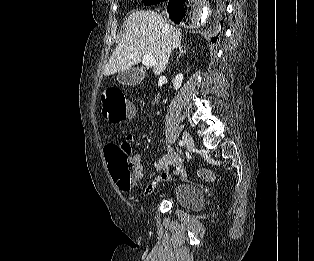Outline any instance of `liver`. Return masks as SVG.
<instances>
[{
  "label": "liver",
  "instance_id": "6515ba94",
  "mask_svg": "<svg viewBox=\"0 0 314 261\" xmlns=\"http://www.w3.org/2000/svg\"><path fill=\"white\" fill-rule=\"evenodd\" d=\"M180 30L167 23L158 13L139 10L126 21L122 40L104 68V75L123 72L138 65L144 55L155 58L153 73L160 75L167 67L171 51L180 46Z\"/></svg>",
  "mask_w": 314,
  "mask_h": 261
}]
</instances>
